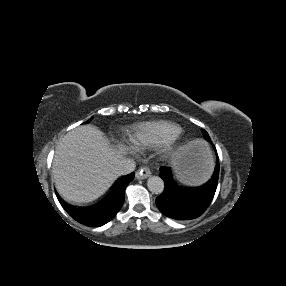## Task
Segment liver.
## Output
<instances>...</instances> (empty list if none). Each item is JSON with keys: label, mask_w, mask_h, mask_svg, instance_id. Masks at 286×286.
I'll return each mask as SVG.
<instances>
[{"label": "liver", "mask_w": 286, "mask_h": 286, "mask_svg": "<svg viewBox=\"0 0 286 286\" xmlns=\"http://www.w3.org/2000/svg\"><path fill=\"white\" fill-rule=\"evenodd\" d=\"M122 154L95 127L82 125L71 130L57 145L52 164L58 192L76 203L96 199L116 179L114 166Z\"/></svg>", "instance_id": "obj_1"}]
</instances>
